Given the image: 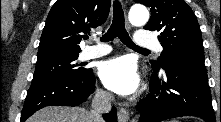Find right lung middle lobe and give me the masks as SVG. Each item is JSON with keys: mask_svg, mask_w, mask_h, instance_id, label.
<instances>
[{"mask_svg": "<svg viewBox=\"0 0 221 122\" xmlns=\"http://www.w3.org/2000/svg\"><path fill=\"white\" fill-rule=\"evenodd\" d=\"M78 55H58L38 59L32 83L83 76L88 69L80 67L81 64L77 63Z\"/></svg>", "mask_w": 221, "mask_h": 122, "instance_id": "1", "label": "right lung middle lobe"}]
</instances>
